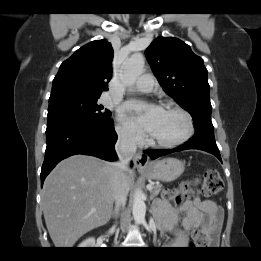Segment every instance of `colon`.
<instances>
[{
	"label": "colon",
	"mask_w": 261,
	"mask_h": 261,
	"mask_svg": "<svg viewBox=\"0 0 261 261\" xmlns=\"http://www.w3.org/2000/svg\"><path fill=\"white\" fill-rule=\"evenodd\" d=\"M200 195L211 197L220 194L223 191L224 183L219 173L214 169L205 171L201 178ZM191 195L188 182L182 183L178 191L168 190L164 193V199L173 203H179L182 197L188 198ZM212 240V227L206 226L203 230L195 234L194 243L200 247H207Z\"/></svg>",
	"instance_id": "colon-1"
}]
</instances>
